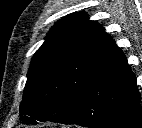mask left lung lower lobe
<instances>
[{
  "label": "left lung lower lobe",
  "instance_id": "obj_1",
  "mask_svg": "<svg viewBox=\"0 0 142 128\" xmlns=\"http://www.w3.org/2000/svg\"><path fill=\"white\" fill-rule=\"evenodd\" d=\"M136 76L121 52L82 90L62 124L88 128H142Z\"/></svg>",
  "mask_w": 142,
  "mask_h": 128
}]
</instances>
